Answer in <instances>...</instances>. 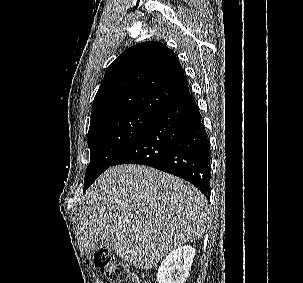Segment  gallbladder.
Returning a JSON list of instances; mask_svg holds the SVG:
<instances>
[{"instance_id":"bac80fb5","label":"gallbladder","mask_w":303,"mask_h":283,"mask_svg":"<svg viewBox=\"0 0 303 283\" xmlns=\"http://www.w3.org/2000/svg\"><path fill=\"white\" fill-rule=\"evenodd\" d=\"M96 249L112 250V240L106 237L101 238L97 243Z\"/></svg>"}]
</instances>
